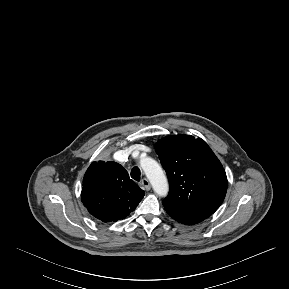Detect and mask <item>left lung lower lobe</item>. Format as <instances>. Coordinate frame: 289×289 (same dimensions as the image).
<instances>
[{
  "label": "left lung lower lobe",
  "instance_id": "1",
  "mask_svg": "<svg viewBox=\"0 0 289 289\" xmlns=\"http://www.w3.org/2000/svg\"><path fill=\"white\" fill-rule=\"evenodd\" d=\"M165 210L173 219H175L176 221L180 223L187 224V225L197 224L206 218L200 215L191 214L188 212L175 210V209H171L167 207H165Z\"/></svg>",
  "mask_w": 289,
  "mask_h": 289
}]
</instances>
